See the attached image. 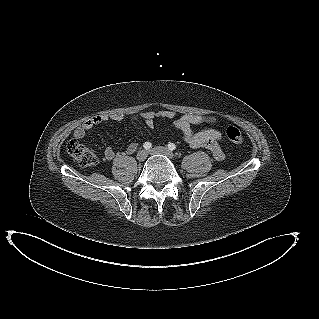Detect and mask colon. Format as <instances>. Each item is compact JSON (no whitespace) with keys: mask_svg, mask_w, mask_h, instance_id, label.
<instances>
[{"mask_svg":"<svg viewBox=\"0 0 319 319\" xmlns=\"http://www.w3.org/2000/svg\"><path fill=\"white\" fill-rule=\"evenodd\" d=\"M226 137L230 142L237 145L242 144L244 141L240 130L232 126L226 129ZM66 151L81 166H93L97 163V157L94 152L87 145L76 140H70L67 143Z\"/></svg>","mask_w":319,"mask_h":319,"instance_id":"obj_1","label":"colon"}]
</instances>
